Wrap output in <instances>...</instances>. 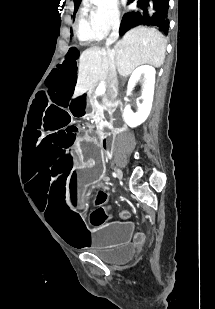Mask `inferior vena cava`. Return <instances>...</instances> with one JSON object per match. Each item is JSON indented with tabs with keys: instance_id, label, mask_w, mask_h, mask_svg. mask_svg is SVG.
Masks as SVG:
<instances>
[{
	"instance_id": "inferior-vena-cava-1",
	"label": "inferior vena cava",
	"mask_w": 215,
	"mask_h": 309,
	"mask_svg": "<svg viewBox=\"0 0 215 309\" xmlns=\"http://www.w3.org/2000/svg\"><path fill=\"white\" fill-rule=\"evenodd\" d=\"M119 26L120 22H113L112 24V32L108 38H106V48H107V58H108V74L106 78L107 82V90H106V96L109 100V102H114L117 94H118V76H117V68H116V62H115V56L114 52H111L109 46L110 44H113L115 40H117L119 36Z\"/></svg>"
}]
</instances>
